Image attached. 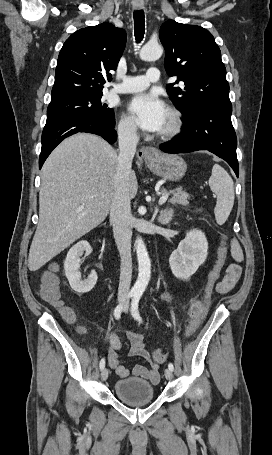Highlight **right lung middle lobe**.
<instances>
[{
  "label": "right lung middle lobe",
  "mask_w": 272,
  "mask_h": 455,
  "mask_svg": "<svg viewBox=\"0 0 272 455\" xmlns=\"http://www.w3.org/2000/svg\"><path fill=\"white\" fill-rule=\"evenodd\" d=\"M102 95L72 96L51 101L47 108V121L67 116H93L113 121L114 110L101 103Z\"/></svg>",
  "instance_id": "dd1d6c3e"
}]
</instances>
